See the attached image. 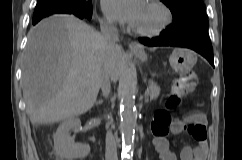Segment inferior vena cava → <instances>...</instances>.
<instances>
[{"label": "inferior vena cava", "instance_id": "inferior-vena-cava-1", "mask_svg": "<svg viewBox=\"0 0 242 160\" xmlns=\"http://www.w3.org/2000/svg\"><path fill=\"white\" fill-rule=\"evenodd\" d=\"M101 33L106 46L110 48V52L105 65L106 68L101 70L99 84L104 97H108L111 88L110 81H116L120 72L122 58L121 50H115L119 40L117 27L111 23H104L101 25ZM105 160H118L117 143L111 131H108L106 134Z\"/></svg>", "mask_w": 242, "mask_h": 160}]
</instances>
